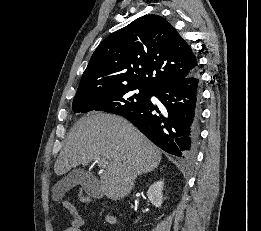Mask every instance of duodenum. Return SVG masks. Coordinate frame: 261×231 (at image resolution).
<instances>
[{
  "instance_id": "duodenum-1",
  "label": "duodenum",
  "mask_w": 261,
  "mask_h": 231,
  "mask_svg": "<svg viewBox=\"0 0 261 231\" xmlns=\"http://www.w3.org/2000/svg\"><path fill=\"white\" fill-rule=\"evenodd\" d=\"M111 221H114V219H113V218H111Z\"/></svg>"
}]
</instances>
